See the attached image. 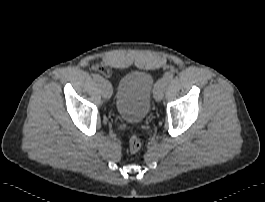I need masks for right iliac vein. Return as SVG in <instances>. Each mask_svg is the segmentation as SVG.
I'll return each mask as SVG.
<instances>
[{
  "instance_id": "1",
  "label": "right iliac vein",
  "mask_w": 265,
  "mask_h": 202,
  "mask_svg": "<svg viewBox=\"0 0 265 202\" xmlns=\"http://www.w3.org/2000/svg\"><path fill=\"white\" fill-rule=\"evenodd\" d=\"M99 85H100V88H101V91H102V96L105 98V99H109L112 95V86L111 84L102 79L100 82H99Z\"/></svg>"
}]
</instances>
